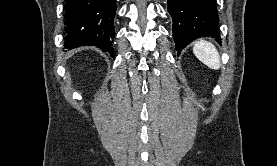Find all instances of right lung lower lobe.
<instances>
[{
    "label": "right lung lower lobe",
    "mask_w": 277,
    "mask_h": 166,
    "mask_svg": "<svg viewBox=\"0 0 277 166\" xmlns=\"http://www.w3.org/2000/svg\"><path fill=\"white\" fill-rule=\"evenodd\" d=\"M64 45H94L112 57L116 0H65Z\"/></svg>",
    "instance_id": "98d812e1"
}]
</instances>
